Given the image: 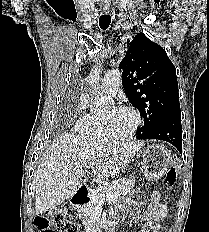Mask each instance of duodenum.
<instances>
[{
	"label": "duodenum",
	"instance_id": "1",
	"mask_svg": "<svg viewBox=\"0 0 209 232\" xmlns=\"http://www.w3.org/2000/svg\"><path fill=\"white\" fill-rule=\"evenodd\" d=\"M90 200V190L87 186L81 185L71 198V203L74 207H82Z\"/></svg>",
	"mask_w": 209,
	"mask_h": 232
}]
</instances>
